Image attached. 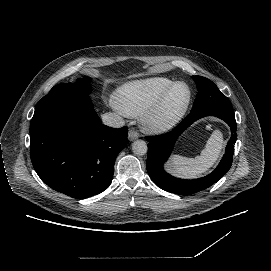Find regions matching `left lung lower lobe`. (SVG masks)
<instances>
[{
	"label": "left lung lower lobe",
	"mask_w": 271,
	"mask_h": 271,
	"mask_svg": "<svg viewBox=\"0 0 271 271\" xmlns=\"http://www.w3.org/2000/svg\"><path fill=\"white\" fill-rule=\"evenodd\" d=\"M205 116H216L224 120L231 128L232 136L227 144L226 152L220 164L212 173L199 179L184 180L175 178L166 173L163 169V164L170 156L178 136L194 121ZM236 130L237 125L234 112L204 110L190 113L172 131L162 135L146 137V140L149 142L146 162L149 176L161 189L180 195H191L210 187L222 178L231 167L234 144L237 138Z\"/></svg>",
	"instance_id": "obj_1"
}]
</instances>
